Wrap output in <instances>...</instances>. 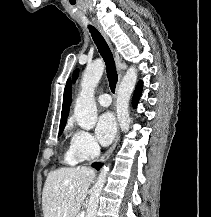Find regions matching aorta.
<instances>
[{
    "label": "aorta",
    "instance_id": "aorta-1",
    "mask_svg": "<svg viewBox=\"0 0 211 217\" xmlns=\"http://www.w3.org/2000/svg\"><path fill=\"white\" fill-rule=\"evenodd\" d=\"M103 71L104 62L101 59H97L86 67L82 76L81 92L75 103L74 117L77 124L85 130H91L97 122L94 90L102 77ZM136 80L137 69L136 67L131 66L124 75L117 91V118L123 132H127L130 126L128 107ZM109 169V166H104L102 168L99 177L92 188L86 217H96L100 193L104 187Z\"/></svg>",
    "mask_w": 211,
    "mask_h": 217
}]
</instances>
